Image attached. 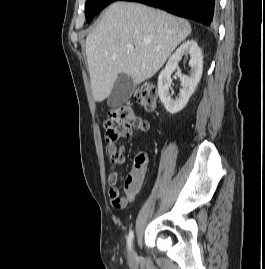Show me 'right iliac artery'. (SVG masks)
Masks as SVG:
<instances>
[{
    "instance_id": "1",
    "label": "right iliac artery",
    "mask_w": 265,
    "mask_h": 269,
    "mask_svg": "<svg viewBox=\"0 0 265 269\" xmlns=\"http://www.w3.org/2000/svg\"><path fill=\"white\" fill-rule=\"evenodd\" d=\"M133 238H134V233H133V231H131L127 237V245H128L129 251L131 250V247H132Z\"/></svg>"
}]
</instances>
